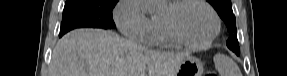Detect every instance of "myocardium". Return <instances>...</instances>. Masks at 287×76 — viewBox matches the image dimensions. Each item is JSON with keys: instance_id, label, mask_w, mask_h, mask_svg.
<instances>
[{"instance_id": "myocardium-1", "label": "myocardium", "mask_w": 287, "mask_h": 76, "mask_svg": "<svg viewBox=\"0 0 287 76\" xmlns=\"http://www.w3.org/2000/svg\"><path fill=\"white\" fill-rule=\"evenodd\" d=\"M187 4H199V5L203 6L204 8H206L212 16L213 31L210 34V36L202 42L194 43V42L187 41L181 35V33L179 32V30L176 26L175 17H176L177 12L183 6H185ZM163 18H164V24H165L167 33L169 34L172 41L176 45H179V46H182L185 48H189V49H202V48L208 47L217 38V36L220 33V29H221V22H220V18L218 16L217 12L208 2H206L204 0H176V1H173L168 6L165 13L163 14Z\"/></svg>"}]
</instances>
